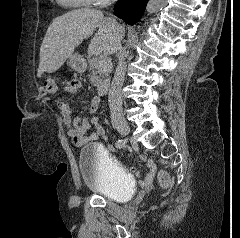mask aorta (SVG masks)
<instances>
[{"label":"aorta","mask_w":240,"mask_h":238,"mask_svg":"<svg viewBox=\"0 0 240 238\" xmlns=\"http://www.w3.org/2000/svg\"><path fill=\"white\" fill-rule=\"evenodd\" d=\"M167 0H149L146 11L148 13H155L166 5Z\"/></svg>","instance_id":"aorta-1"}]
</instances>
